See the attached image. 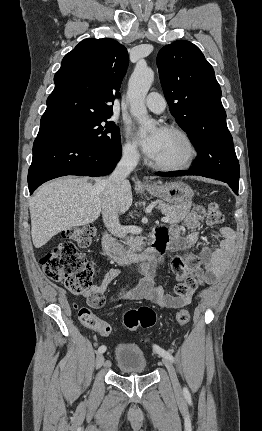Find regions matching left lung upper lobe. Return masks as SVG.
I'll use <instances>...</instances> for the list:
<instances>
[{
	"mask_svg": "<svg viewBox=\"0 0 262 431\" xmlns=\"http://www.w3.org/2000/svg\"><path fill=\"white\" fill-rule=\"evenodd\" d=\"M157 66L170 112L198 152L192 170L239 184V162L211 64L197 46L178 40L161 48Z\"/></svg>",
	"mask_w": 262,
	"mask_h": 431,
	"instance_id": "obj_1",
	"label": "left lung upper lobe"
}]
</instances>
